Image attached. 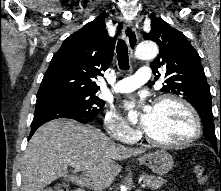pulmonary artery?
<instances>
[{
    "mask_svg": "<svg viewBox=\"0 0 221 191\" xmlns=\"http://www.w3.org/2000/svg\"><path fill=\"white\" fill-rule=\"evenodd\" d=\"M151 79V70L148 67H141L135 75L119 80L113 87L114 92L127 93L134 91Z\"/></svg>",
    "mask_w": 221,
    "mask_h": 191,
    "instance_id": "pulmonary-artery-1",
    "label": "pulmonary artery"
}]
</instances>
